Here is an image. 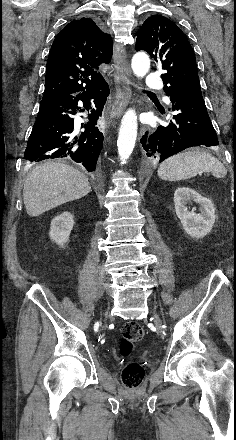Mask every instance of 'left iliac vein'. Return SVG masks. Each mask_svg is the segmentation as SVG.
<instances>
[{
	"label": "left iliac vein",
	"mask_w": 236,
	"mask_h": 440,
	"mask_svg": "<svg viewBox=\"0 0 236 440\" xmlns=\"http://www.w3.org/2000/svg\"><path fill=\"white\" fill-rule=\"evenodd\" d=\"M153 321H154V323H155V325L157 327L158 332L162 333L163 332V330H162V322H161L159 316L157 315L156 311H153Z\"/></svg>",
	"instance_id": "left-iliac-vein-1"
}]
</instances>
